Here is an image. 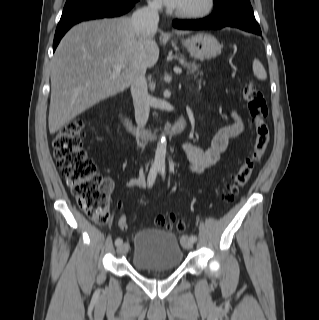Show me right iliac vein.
Masks as SVG:
<instances>
[{
  "label": "right iliac vein",
  "mask_w": 319,
  "mask_h": 320,
  "mask_svg": "<svg viewBox=\"0 0 319 320\" xmlns=\"http://www.w3.org/2000/svg\"><path fill=\"white\" fill-rule=\"evenodd\" d=\"M129 244L128 243H122L120 246L117 248V252L119 254H124L128 251Z\"/></svg>",
  "instance_id": "63e3f726"
}]
</instances>
